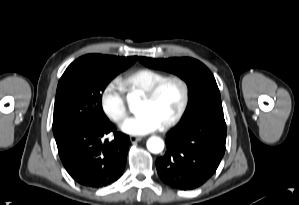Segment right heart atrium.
<instances>
[{
  "instance_id": "obj_1",
  "label": "right heart atrium",
  "mask_w": 299,
  "mask_h": 205,
  "mask_svg": "<svg viewBox=\"0 0 299 205\" xmlns=\"http://www.w3.org/2000/svg\"><path fill=\"white\" fill-rule=\"evenodd\" d=\"M100 106L113 122L121 123L127 116V107L117 80L109 81L101 90Z\"/></svg>"
}]
</instances>
